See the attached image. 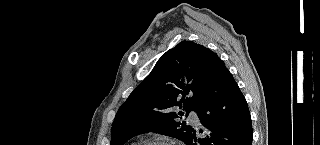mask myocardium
Listing matches in <instances>:
<instances>
[{
    "label": "myocardium",
    "instance_id": "myocardium-1",
    "mask_svg": "<svg viewBox=\"0 0 320 145\" xmlns=\"http://www.w3.org/2000/svg\"><path fill=\"white\" fill-rule=\"evenodd\" d=\"M140 145H172L167 141L162 140H152V141H145L141 143Z\"/></svg>",
    "mask_w": 320,
    "mask_h": 145
}]
</instances>
